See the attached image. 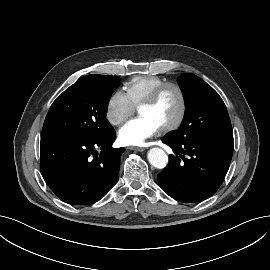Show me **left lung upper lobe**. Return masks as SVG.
<instances>
[{
    "label": "left lung upper lobe",
    "instance_id": "left-lung-upper-lobe-1",
    "mask_svg": "<svg viewBox=\"0 0 270 270\" xmlns=\"http://www.w3.org/2000/svg\"><path fill=\"white\" fill-rule=\"evenodd\" d=\"M178 84L186 101V112L179 130L168 135L177 142L193 135L233 137L226 106L219 94L194 74H182Z\"/></svg>",
    "mask_w": 270,
    "mask_h": 270
}]
</instances>
